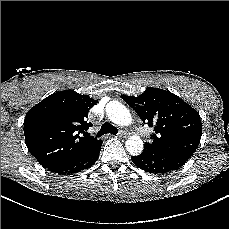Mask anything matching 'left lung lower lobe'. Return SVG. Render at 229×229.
Here are the masks:
<instances>
[{
	"instance_id": "obj_1",
	"label": "left lung lower lobe",
	"mask_w": 229,
	"mask_h": 229,
	"mask_svg": "<svg viewBox=\"0 0 229 229\" xmlns=\"http://www.w3.org/2000/svg\"><path fill=\"white\" fill-rule=\"evenodd\" d=\"M185 155H162L142 152L138 156H132L133 163L149 173H166L179 169L188 160Z\"/></svg>"
}]
</instances>
